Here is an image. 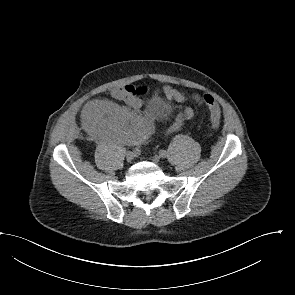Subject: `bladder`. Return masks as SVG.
Instances as JSON below:
<instances>
[{"mask_svg":"<svg viewBox=\"0 0 295 295\" xmlns=\"http://www.w3.org/2000/svg\"><path fill=\"white\" fill-rule=\"evenodd\" d=\"M170 111V108L164 104H155L154 105V112L156 116H162L165 114H168Z\"/></svg>","mask_w":295,"mask_h":295,"instance_id":"bladder-1","label":"bladder"}]
</instances>
